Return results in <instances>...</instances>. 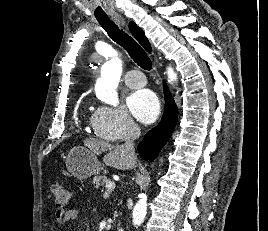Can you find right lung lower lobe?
I'll return each instance as SVG.
<instances>
[{
  "instance_id": "98d812e1",
  "label": "right lung lower lobe",
  "mask_w": 268,
  "mask_h": 231,
  "mask_svg": "<svg viewBox=\"0 0 268 231\" xmlns=\"http://www.w3.org/2000/svg\"><path fill=\"white\" fill-rule=\"evenodd\" d=\"M165 108L158 126L151 129L138 145L142 159L153 161L172 135L178 120V109L174 99L164 83Z\"/></svg>"
}]
</instances>
